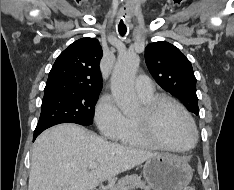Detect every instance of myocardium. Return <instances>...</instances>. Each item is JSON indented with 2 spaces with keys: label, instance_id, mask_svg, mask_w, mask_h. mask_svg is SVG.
I'll return each instance as SVG.
<instances>
[{
  "label": "myocardium",
  "instance_id": "obj_1",
  "mask_svg": "<svg viewBox=\"0 0 234 190\" xmlns=\"http://www.w3.org/2000/svg\"><path fill=\"white\" fill-rule=\"evenodd\" d=\"M166 106L176 107L188 120L193 131V141L189 146L183 148L174 147L166 144L158 136L156 131L157 120L161 110ZM136 122L139 126L141 133L148 141H150L156 147L165 150H170L174 152H187L194 148L198 141V130L193 117L180 102L168 96H157L149 102L145 103L142 114L136 117Z\"/></svg>",
  "mask_w": 234,
  "mask_h": 190
}]
</instances>
